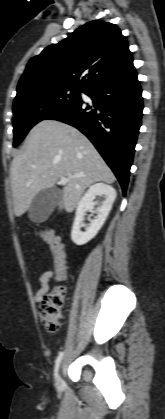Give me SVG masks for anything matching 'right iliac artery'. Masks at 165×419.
I'll return each instance as SVG.
<instances>
[{"mask_svg": "<svg viewBox=\"0 0 165 419\" xmlns=\"http://www.w3.org/2000/svg\"><path fill=\"white\" fill-rule=\"evenodd\" d=\"M63 352H60L59 353V355H58V357H57V359H56V361H55V377L57 376V371H58V369H59V366H60V363H61V360H62V357H63Z\"/></svg>", "mask_w": 165, "mask_h": 419, "instance_id": "1", "label": "right iliac artery"}]
</instances>
